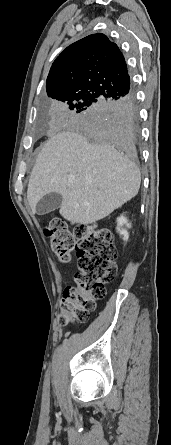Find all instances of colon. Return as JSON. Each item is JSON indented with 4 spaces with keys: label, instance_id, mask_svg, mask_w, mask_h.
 Segmentation results:
<instances>
[{
    "label": "colon",
    "instance_id": "5ec220e1",
    "mask_svg": "<svg viewBox=\"0 0 171 445\" xmlns=\"http://www.w3.org/2000/svg\"><path fill=\"white\" fill-rule=\"evenodd\" d=\"M53 252L62 263H68L75 250L79 271L75 284L63 292L59 322H86L96 307V301L106 296L105 283L116 276V249L111 232L98 224L79 225L72 231L59 219H53L44 229Z\"/></svg>",
    "mask_w": 171,
    "mask_h": 445
}]
</instances>
